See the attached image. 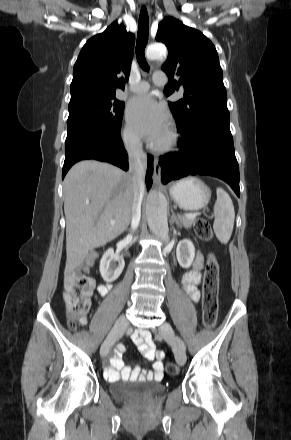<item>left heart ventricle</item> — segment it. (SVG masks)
Segmentation results:
<instances>
[{
	"label": "left heart ventricle",
	"instance_id": "left-heart-ventricle-1",
	"mask_svg": "<svg viewBox=\"0 0 291 440\" xmlns=\"http://www.w3.org/2000/svg\"><path fill=\"white\" fill-rule=\"evenodd\" d=\"M166 136H167V133H166V134H165L160 140H163ZM160 140H159V141H160Z\"/></svg>",
	"mask_w": 291,
	"mask_h": 440
}]
</instances>
